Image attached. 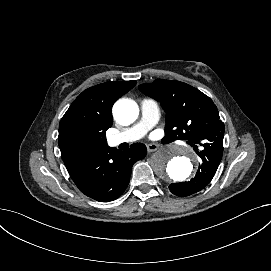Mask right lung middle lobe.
<instances>
[{"mask_svg": "<svg viewBox=\"0 0 271 271\" xmlns=\"http://www.w3.org/2000/svg\"><path fill=\"white\" fill-rule=\"evenodd\" d=\"M106 132L82 130L74 135L77 147L87 156H92L107 146Z\"/></svg>", "mask_w": 271, "mask_h": 271, "instance_id": "right-lung-middle-lobe-1", "label": "right lung middle lobe"}]
</instances>
